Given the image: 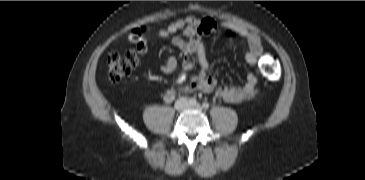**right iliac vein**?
Masks as SVG:
<instances>
[{"label":"right iliac vein","instance_id":"right-iliac-vein-1","mask_svg":"<svg viewBox=\"0 0 365 180\" xmlns=\"http://www.w3.org/2000/svg\"><path fill=\"white\" fill-rule=\"evenodd\" d=\"M187 106V101L184 98H181L176 101L174 108L177 111H182Z\"/></svg>","mask_w":365,"mask_h":180}]
</instances>
